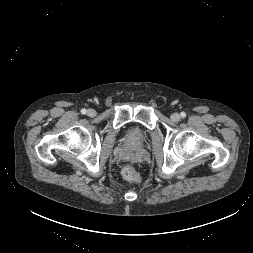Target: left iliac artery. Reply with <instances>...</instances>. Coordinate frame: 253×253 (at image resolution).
I'll return each mask as SVG.
<instances>
[{"mask_svg":"<svg viewBox=\"0 0 253 253\" xmlns=\"http://www.w3.org/2000/svg\"><path fill=\"white\" fill-rule=\"evenodd\" d=\"M180 115H181L182 118L186 117V113L185 112H181Z\"/></svg>","mask_w":253,"mask_h":253,"instance_id":"left-iliac-artery-1","label":"left iliac artery"}]
</instances>
